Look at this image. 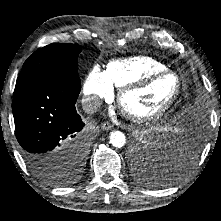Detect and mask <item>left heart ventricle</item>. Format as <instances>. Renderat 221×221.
<instances>
[{
    "instance_id": "left-heart-ventricle-1",
    "label": "left heart ventricle",
    "mask_w": 221,
    "mask_h": 221,
    "mask_svg": "<svg viewBox=\"0 0 221 221\" xmlns=\"http://www.w3.org/2000/svg\"><path fill=\"white\" fill-rule=\"evenodd\" d=\"M175 87L176 83L172 77H161L147 87L128 94L124 104L135 114L153 113L171 98Z\"/></svg>"
}]
</instances>
